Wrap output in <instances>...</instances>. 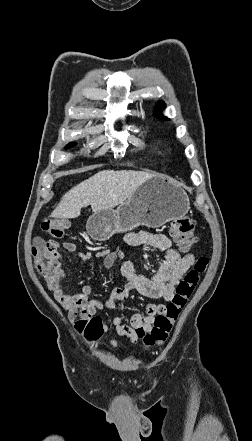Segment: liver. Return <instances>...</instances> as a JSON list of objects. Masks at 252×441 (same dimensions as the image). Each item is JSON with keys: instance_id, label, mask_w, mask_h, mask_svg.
<instances>
[{"instance_id": "6515ba94", "label": "liver", "mask_w": 252, "mask_h": 441, "mask_svg": "<svg viewBox=\"0 0 252 441\" xmlns=\"http://www.w3.org/2000/svg\"><path fill=\"white\" fill-rule=\"evenodd\" d=\"M154 174L133 170H102L74 186L63 195L51 216L76 218L81 208L91 206L99 212L124 203L136 189Z\"/></svg>"}]
</instances>
